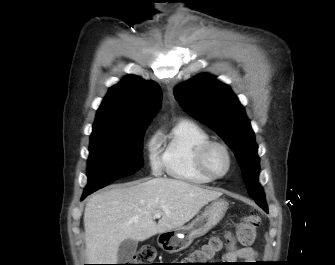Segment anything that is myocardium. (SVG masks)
Listing matches in <instances>:
<instances>
[{
  "mask_svg": "<svg viewBox=\"0 0 335 265\" xmlns=\"http://www.w3.org/2000/svg\"><path fill=\"white\" fill-rule=\"evenodd\" d=\"M213 148H220L224 151L227 157V168L222 174L214 173L207 164V157L209 152ZM197 165L201 172L211 178L212 180L222 179L224 178L232 169L233 166V156L230 148L223 142L210 140L203 144L199 149L197 154Z\"/></svg>",
  "mask_w": 335,
  "mask_h": 265,
  "instance_id": "f54148a6",
  "label": "myocardium"
}]
</instances>
